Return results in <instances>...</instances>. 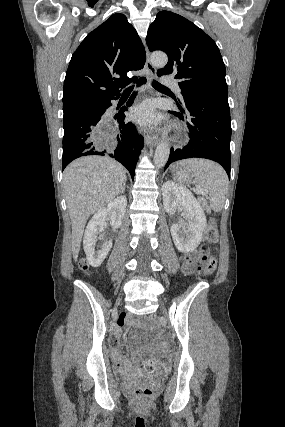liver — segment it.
Returning a JSON list of instances; mask_svg holds the SVG:
<instances>
[{
    "label": "liver",
    "instance_id": "liver-1",
    "mask_svg": "<svg viewBox=\"0 0 285 427\" xmlns=\"http://www.w3.org/2000/svg\"><path fill=\"white\" fill-rule=\"evenodd\" d=\"M126 170L108 156H86L63 172V190L72 224V253L76 261L88 218L113 201L126 183Z\"/></svg>",
    "mask_w": 285,
    "mask_h": 427
}]
</instances>
